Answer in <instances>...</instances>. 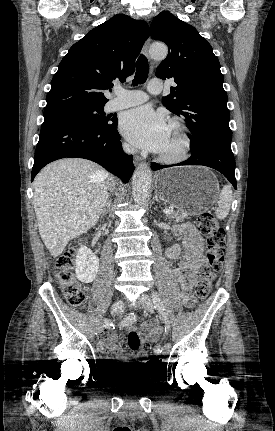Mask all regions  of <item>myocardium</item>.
<instances>
[{"instance_id":"f54148a6","label":"myocardium","mask_w":275,"mask_h":431,"mask_svg":"<svg viewBox=\"0 0 275 431\" xmlns=\"http://www.w3.org/2000/svg\"><path fill=\"white\" fill-rule=\"evenodd\" d=\"M169 125L175 127L179 132L181 146L179 151L174 155H164L159 153L157 159L164 164H178L187 160L192 149V139L187 126L178 118L169 120Z\"/></svg>"}]
</instances>
